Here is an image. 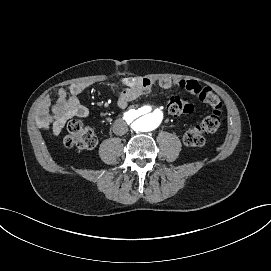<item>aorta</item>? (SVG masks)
Instances as JSON below:
<instances>
[{
	"label": "aorta",
	"instance_id": "762f6f07",
	"mask_svg": "<svg viewBox=\"0 0 271 271\" xmlns=\"http://www.w3.org/2000/svg\"><path fill=\"white\" fill-rule=\"evenodd\" d=\"M140 114L146 115L145 130H154L159 126L163 119V113L160 110L152 111L151 106H144L139 111Z\"/></svg>",
	"mask_w": 271,
	"mask_h": 271
}]
</instances>
